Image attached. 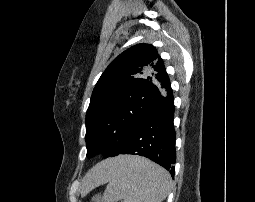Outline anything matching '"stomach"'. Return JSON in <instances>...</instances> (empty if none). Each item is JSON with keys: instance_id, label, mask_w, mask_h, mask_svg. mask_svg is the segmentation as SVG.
I'll list each match as a JSON object with an SVG mask.
<instances>
[{"instance_id": "1", "label": "stomach", "mask_w": 255, "mask_h": 202, "mask_svg": "<svg viewBox=\"0 0 255 202\" xmlns=\"http://www.w3.org/2000/svg\"><path fill=\"white\" fill-rule=\"evenodd\" d=\"M99 200H100V196L96 195L95 197H93L92 202H100Z\"/></svg>"}]
</instances>
